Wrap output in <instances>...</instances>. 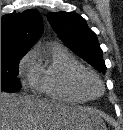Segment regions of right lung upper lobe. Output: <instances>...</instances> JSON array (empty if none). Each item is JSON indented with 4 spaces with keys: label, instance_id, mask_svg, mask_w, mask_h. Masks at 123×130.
<instances>
[{
    "label": "right lung upper lobe",
    "instance_id": "right-lung-upper-lobe-1",
    "mask_svg": "<svg viewBox=\"0 0 123 130\" xmlns=\"http://www.w3.org/2000/svg\"><path fill=\"white\" fill-rule=\"evenodd\" d=\"M43 32V20L35 9L1 17V56L27 53Z\"/></svg>",
    "mask_w": 123,
    "mask_h": 130
}]
</instances>
